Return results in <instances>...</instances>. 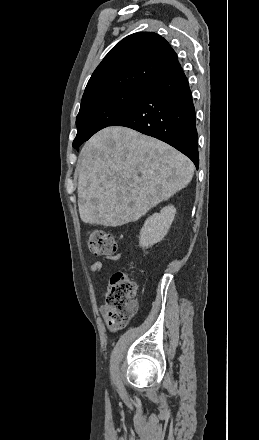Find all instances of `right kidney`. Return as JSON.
Wrapping results in <instances>:
<instances>
[{
	"label": "right kidney",
	"instance_id": "right-kidney-1",
	"mask_svg": "<svg viewBox=\"0 0 259 440\" xmlns=\"http://www.w3.org/2000/svg\"><path fill=\"white\" fill-rule=\"evenodd\" d=\"M175 214L176 209L171 205L148 217L140 231L139 245L147 249L160 242L168 233Z\"/></svg>",
	"mask_w": 259,
	"mask_h": 440
}]
</instances>
